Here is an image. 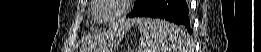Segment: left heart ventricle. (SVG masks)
Masks as SVG:
<instances>
[{"instance_id": "left-heart-ventricle-1", "label": "left heart ventricle", "mask_w": 261, "mask_h": 52, "mask_svg": "<svg viewBox=\"0 0 261 52\" xmlns=\"http://www.w3.org/2000/svg\"><path fill=\"white\" fill-rule=\"evenodd\" d=\"M118 6L114 3H108L100 7L97 11V17L99 19H109L116 14Z\"/></svg>"}]
</instances>
